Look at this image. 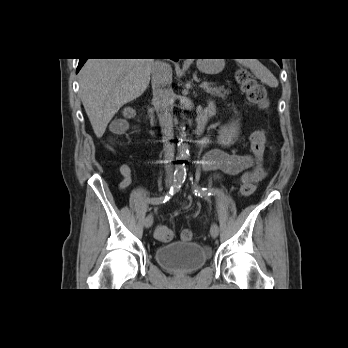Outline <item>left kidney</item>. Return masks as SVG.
I'll return each mask as SVG.
<instances>
[{
	"label": "left kidney",
	"mask_w": 348,
	"mask_h": 348,
	"mask_svg": "<svg viewBox=\"0 0 348 348\" xmlns=\"http://www.w3.org/2000/svg\"><path fill=\"white\" fill-rule=\"evenodd\" d=\"M238 121H232L230 124L220 127L218 142L222 146H230L238 138Z\"/></svg>",
	"instance_id": "1"
}]
</instances>
